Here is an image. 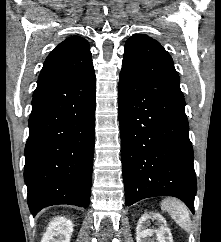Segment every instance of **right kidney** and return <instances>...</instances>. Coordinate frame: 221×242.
Returning a JSON list of instances; mask_svg holds the SVG:
<instances>
[{
	"label": "right kidney",
	"instance_id": "ca27d5eb",
	"mask_svg": "<svg viewBox=\"0 0 221 242\" xmlns=\"http://www.w3.org/2000/svg\"><path fill=\"white\" fill-rule=\"evenodd\" d=\"M72 233V221L58 216L49 223L45 242H70Z\"/></svg>",
	"mask_w": 221,
	"mask_h": 242
}]
</instances>
